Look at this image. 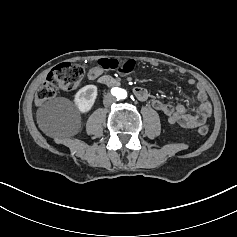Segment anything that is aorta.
Here are the masks:
<instances>
[{
    "instance_id": "1",
    "label": "aorta",
    "mask_w": 237,
    "mask_h": 237,
    "mask_svg": "<svg viewBox=\"0 0 237 237\" xmlns=\"http://www.w3.org/2000/svg\"><path fill=\"white\" fill-rule=\"evenodd\" d=\"M122 91L126 93V96L124 97V98H126V97H127V91H126V90H124V89H122Z\"/></svg>"
}]
</instances>
